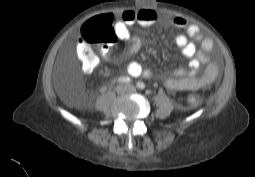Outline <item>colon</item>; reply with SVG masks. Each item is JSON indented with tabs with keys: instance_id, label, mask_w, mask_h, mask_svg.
Instances as JSON below:
<instances>
[{
	"instance_id": "1",
	"label": "colon",
	"mask_w": 255,
	"mask_h": 177,
	"mask_svg": "<svg viewBox=\"0 0 255 177\" xmlns=\"http://www.w3.org/2000/svg\"><path fill=\"white\" fill-rule=\"evenodd\" d=\"M117 37L111 27V22L106 15L85 21L81 27L80 42L81 47L77 49L80 62L86 68H92L96 59L90 50V45H112ZM199 99L193 97L194 101Z\"/></svg>"
}]
</instances>
